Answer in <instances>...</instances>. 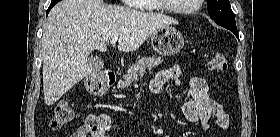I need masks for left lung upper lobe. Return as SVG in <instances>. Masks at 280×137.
<instances>
[{
    "label": "left lung upper lobe",
    "mask_w": 280,
    "mask_h": 137,
    "mask_svg": "<svg viewBox=\"0 0 280 137\" xmlns=\"http://www.w3.org/2000/svg\"><path fill=\"white\" fill-rule=\"evenodd\" d=\"M207 4L210 17L218 25L227 29H237L229 0H208Z\"/></svg>",
    "instance_id": "obj_1"
}]
</instances>
